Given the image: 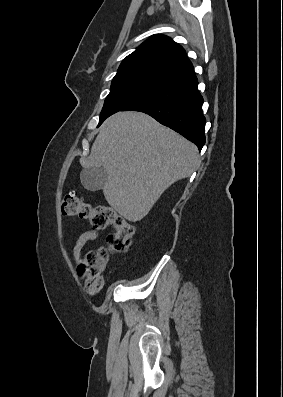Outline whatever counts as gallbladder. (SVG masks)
Wrapping results in <instances>:
<instances>
[{
    "label": "gallbladder",
    "instance_id": "obj_1",
    "mask_svg": "<svg viewBox=\"0 0 283 397\" xmlns=\"http://www.w3.org/2000/svg\"><path fill=\"white\" fill-rule=\"evenodd\" d=\"M80 180L85 189L98 191L103 188L107 173L102 167H88L82 170Z\"/></svg>",
    "mask_w": 283,
    "mask_h": 397
}]
</instances>
